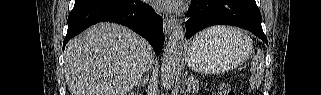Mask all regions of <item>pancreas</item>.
Here are the masks:
<instances>
[{
  "label": "pancreas",
  "mask_w": 321,
  "mask_h": 95,
  "mask_svg": "<svg viewBox=\"0 0 321 95\" xmlns=\"http://www.w3.org/2000/svg\"><path fill=\"white\" fill-rule=\"evenodd\" d=\"M187 84V90L192 94L195 95L199 90V80L195 76H190L188 79L185 80Z\"/></svg>",
  "instance_id": "pancreas-1"
}]
</instances>
